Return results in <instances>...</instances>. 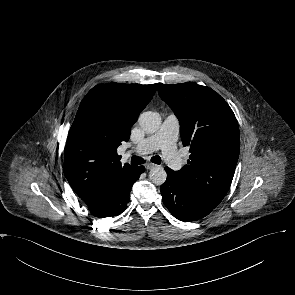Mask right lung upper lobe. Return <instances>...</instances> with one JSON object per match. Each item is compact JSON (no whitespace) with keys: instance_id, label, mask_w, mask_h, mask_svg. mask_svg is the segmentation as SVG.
<instances>
[{"instance_id":"right-lung-upper-lobe-1","label":"right lung upper lobe","mask_w":295,"mask_h":295,"mask_svg":"<svg viewBox=\"0 0 295 295\" xmlns=\"http://www.w3.org/2000/svg\"><path fill=\"white\" fill-rule=\"evenodd\" d=\"M95 87L105 89L111 99V115L93 121L80 104L70 128L64 157V174L74 192L86 201L98 184L130 168L122 165L117 148L130 138L131 127L150 102L157 84L110 83Z\"/></svg>"}]
</instances>
